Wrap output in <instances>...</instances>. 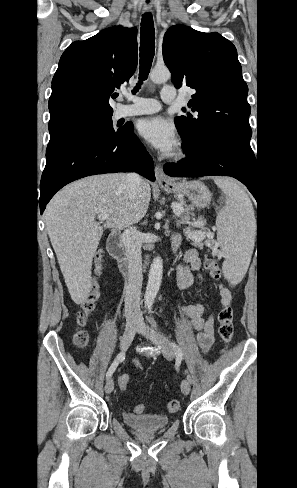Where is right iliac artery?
<instances>
[{
  "instance_id": "1",
  "label": "right iliac artery",
  "mask_w": 297,
  "mask_h": 488,
  "mask_svg": "<svg viewBox=\"0 0 297 488\" xmlns=\"http://www.w3.org/2000/svg\"><path fill=\"white\" fill-rule=\"evenodd\" d=\"M125 359V352H121L117 355L111 366L109 367L107 373H106V378H110L114 371L116 370L117 366L119 365L120 362H122Z\"/></svg>"
}]
</instances>
